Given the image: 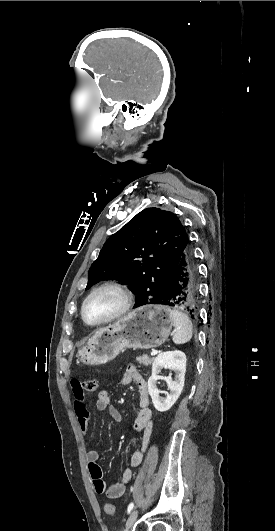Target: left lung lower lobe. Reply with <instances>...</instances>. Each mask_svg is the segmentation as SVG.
Listing matches in <instances>:
<instances>
[{
  "label": "left lung lower lobe",
  "instance_id": "obj_1",
  "mask_svg": "<svg viewBox=\"0 0 275 531\" xmlns=\"http://www.w3.org/2000/svg\"><path fill=\"white\" fill-rule=\"evenodd\" d=\"M198 278L197 264L188 240L174 271L168 291L157 304L175 307L188 312L194 318L199 305Z\"/></svg>",
  "mask_w": 275,
  "mask_h": 531
}]
</instances>
